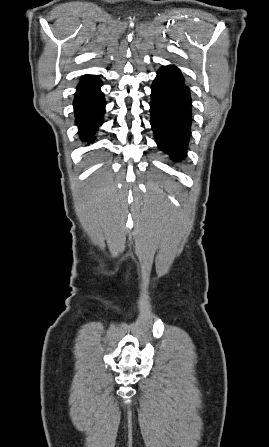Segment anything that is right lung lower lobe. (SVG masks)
Segmentation results:
<instances>
[{"mask_svg": "<svg viewBox=\"0 0 269 447\" xmlns=\"http://www.w3.org/2000/svg\"><path fill=\"white\" fill-rule=\"evenodd\" d=\"M100 87L101 81L92 75L83 76L77 87L73 104L82 140L88 141L103 122L106 103Z\"/></svg>", "mask_w": 269, "mask_h": 447, "instance_id": "right-lung-lower-lobe-1", "label": "right lung lower lobe"}]
</instances>
